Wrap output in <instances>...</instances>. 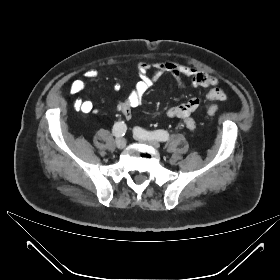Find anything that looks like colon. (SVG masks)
Instances as JSON below:
<instances>
[{
  "instance_id": "5ec220e1",
  "label": "colon",
  "mask_w": 280,
  "mask_h": 280,
  "mask_svg": "<svg viewBox=\"0 0 280 280\" xmlns=\"http://www.w3.org/2000/svg\"><path fill=\"white\" fill-rule=\"evenodd\" d=\"M207 113H208L209 115L213 116V115H215V114L217 113V108H215V107H209V108L207 109Z\"/></svg>"
}]
</instances>
